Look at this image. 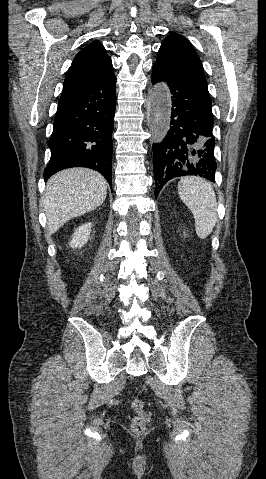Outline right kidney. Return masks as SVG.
Wrapping results in <instances>:
<instances>
[{
  "label": "right kidney",
  "instance_id": "obj_1",
  "mask_svg": "<svg viewBox=\"0 0 266 479\" xmlns=\"http://www.w3.org/2000/svg\"><path fill=\"white\" fill-rule=\"evenodd\" d=\"M91 228H92L91 223H85V224L79 226L75 230L74 234L72 235V240L70 242V246L73 249L83 247L87 243V241L90 237Z\"/></svg>",
  "mask_w": 266,
  "mask_h": 479
}]
</instances>
